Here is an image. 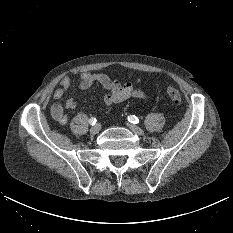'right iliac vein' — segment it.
I'll use <instances>...</instances> for the list:
<instances>
[{
	"mask_svg": "<svg viewBox=\"0 0 233 233\" xmlns=\"http://www.w3.org/2000/svg\"><path fill=\"white\" fill-rule=\"evenodd\" d=\"M101 129V125L99 123L93 125L91 128H90V133L91 134H97Z\"/></svg>",
	"mask_w": 233,
	"mask_h": 233,
	"instance_id": "1",
	"label": "right iliac vein"
}]
</instances>
